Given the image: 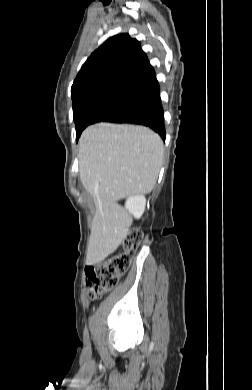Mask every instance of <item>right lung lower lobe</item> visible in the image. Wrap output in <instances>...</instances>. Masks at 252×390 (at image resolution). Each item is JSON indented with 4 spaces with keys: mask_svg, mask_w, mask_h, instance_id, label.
<instances>
[{
    "mask_svg": "<svg viewBox=\"0 0 252 390\" xmlns=\"http://www.w3.org/2000/svg\"><path fill=\"white\" fill-rule=\"evenodd\" d=\"M105 122L144 125L153 129L165 140L166 133L160 87L134 101L129 107L112 115Z\"/></svg>",
    "mask_w": 252,
    "mask_h": 390,
    "instance_id": "98d812e1",
    "label": "right lung lower lobe"
}]
</instances>
